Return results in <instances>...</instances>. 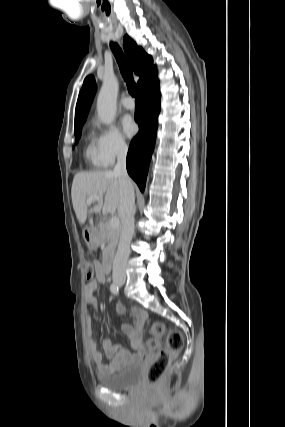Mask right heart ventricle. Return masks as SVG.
Instances as JSON below:
<instances>
[{
  "label": "right heart ventricle",
  "instance_id": "e07e8e85",
  "mask_svg": "<svg viewBox=\"0 0 285 427\" xmlns=\"http://www.w3.org/2000/svg\"><path fill=\"white\" fill-rule=\"evenodd\" d=\"M84 157L87 160V162L94 168H102L106 166L104 162L102 161L98 150L95 146V143L93 141H90L84 150Z\"/></svg>",
  "mask_w": 285,
  "mask_h": 427
}]
</instances>
